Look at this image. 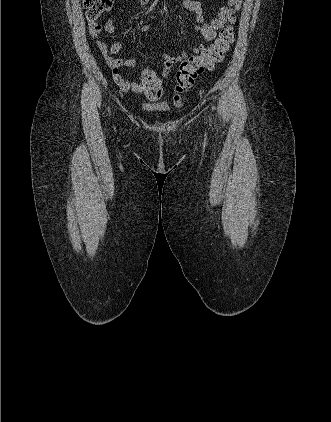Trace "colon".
Returning <instances> with one entry per match:
<instances>
[{
    "instance_id": "colon-1",
    "label": "colon",
    "mask_w": 331,
    "mask_h": 422,
    "mask_svg": "<svg viewBox=\"0 0 331 422\" xmlns=\"http://www.w3.org/2000/svg\"><path fill=\"white\" fill-rule=\"evenodd\" d=\"M115 0H83L86 9V17L89 22H96L102 13L110 11L114 6ZM234 18L230 19V24L223 27L217 39L205 51L197 56L190 57L182 61L179 65L176 83L174 101L177 105L182 102V95L190 89L197 77L204 70H212L221 63L225 54L230 49L235 40ZM140 83L143 86V93L151 100L158 99L162 94V86L157 74L145 69L140 75Z\"/></svg>"
}]
</instances>
